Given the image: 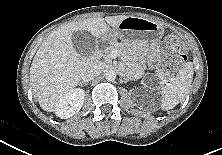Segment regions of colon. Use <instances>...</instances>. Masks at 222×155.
<instances>
[{
  "instance_id": "colon-1",
  "label": "colon",
  "mask_w": 222,
  "mask_h": 155,
  "mask_svg": "<svg viewBox=\"0 0 222 155\" xmlns=\"http://www.w3.org/2000/svg\"><path fill=\"white\" fill-rule=\"evenodd\" d=\"M163 51L165 53L163 68L166 73L173 74L186 60L184 43L177 35H168L163 41Z\"/></svg>"
}]
</instances>
